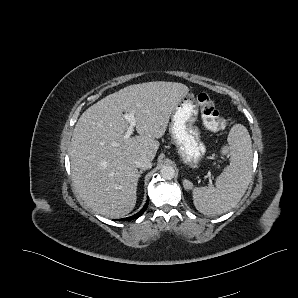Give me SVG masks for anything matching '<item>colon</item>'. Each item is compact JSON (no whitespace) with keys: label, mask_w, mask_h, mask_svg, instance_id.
<instances>
[{"label":"colon","mask_w":298,"mask_h":298,"mask_svg":"<svg viewBox=\"0 0 298 298\" xmlns=\"http://www.w3.org/2000/svg\"><path fill=\"white\" fill-rule=\"evenodd\" d=\"M197 101L203 124L208 130L220 131L231 125V120L219 112L212 97L208 93H200L197 96Z\"/></svg>","instance_id":"5ec220e1"}]
</instances>
